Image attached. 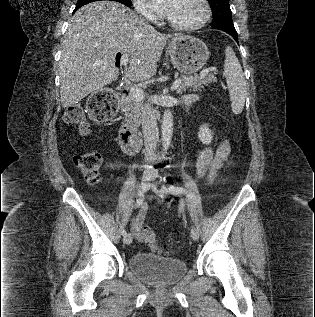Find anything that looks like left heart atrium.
<instances>
[{
  "instance_id": "39dd6f15",
  "label": "left heart atrium",
  "mask_w": 315,
  "mask_h": 317,
  "mask_svg": "<svg viewBox=\"0 0 315 317\" xmlns=\"http://www.w3.org/2000/svg\"><path fill=\"white\" fill-rule=\"evenodd\" d=\"M153 3L161 15L169 16L175 7L176 0H153Z\"/></svg>"
}]
</instances>
